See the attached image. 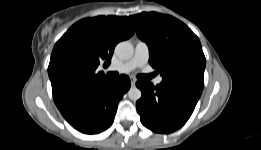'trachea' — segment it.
<instances>
[{"instance_id":"trachea-1","label":"trachea","mask_w":261,"mask_h":150,"mask_svg":"<svg viewBox=\"0 0 261 150\" xmlns=\"http://www.w3.org/2000/svg\"><path fill=\"white\" fill-rule=\"evenodd\" d=\"M119 74H118V72H109L108 73V76L109 77H117ZM139 78H147L148 76H144V75H142V76H138Z\"/></svg>"}]
</instances>
